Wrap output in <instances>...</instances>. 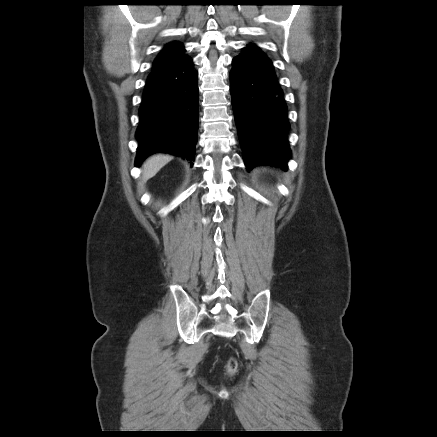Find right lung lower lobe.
Instances as JSON below:
<instances>
[{"instance_id":"1","label":"right lung lower lobe","mask_w":437,"mask_h":437,"mask_svg":"<svg viewBox=\"0 0 437 437\" xmlns=\"http://www.w3.org/2000/svg\"><path fill=\"white\" fill-rule=\"evenodd\" d=\"M197 72L185 55L149 74L139 108L136 166L149 155L167 152L194 160L199 125Z\"/></svg>"}]
</instances>
